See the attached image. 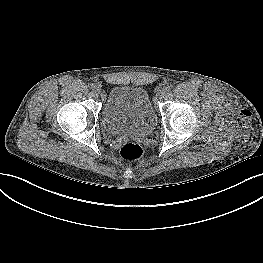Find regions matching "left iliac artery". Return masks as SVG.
I'll return each mask as SVG.
<instances>
[{"instance_id": "44dca946", "label": "left iliac artery", "mask_w": 263, "mask_h": 263, "mask_svg": "<svg viewBox=\"0 0 263 263\" xmlns=\"http://www.w3.org/2000/svg\"><path fill=\"white\" fill-rule=\"evenodd\" d=\"M165 90H166V91H170V88H169V87H166Z\"/></svg>"}]
</instances>
